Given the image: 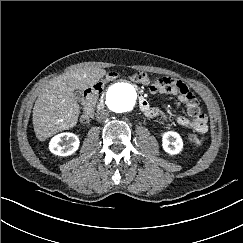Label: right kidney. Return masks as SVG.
Returning <instances> with one entry per match:
<instances>
[{
  "label": "right kidney",
  "instance_id": "obj_1",
  "mask_svg": "<svg viewBox=\"0 0 243 243\" xmlns=\"http://www.w3.org/2000/svg\"><path fill=\"white\" fill-rule=\"evenodd\" d=\"M79 145V138L75 134L64 132L54 136L51 139L49 149L53 154L59 156H69L78 150Z\"/></svg>",
  "mask_w": 243,
  "mask_h": 243
}]
</instances>
